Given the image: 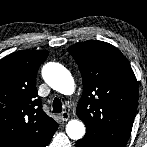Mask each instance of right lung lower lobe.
<instances>
[{"instance_id":"right-lung-lower-lobe-1","label":"right lung lower lobe","mask_w":147,"mask_h":147,"mask_svg":"<svg viewBox=\"0 0 147 147\" xmlns=\"http://www.w3.org/2000/svg\"><path fill=\"white\" fill-rule=\"evenodd\" d=\"M50 140H48L42 147H46L49 144Z\"/></svg>"}]
</instances>
